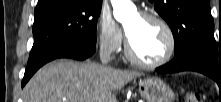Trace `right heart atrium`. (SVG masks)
I'll return each instance as SVG.
<instances>
[{
	"mask_svg": "<svg viewBox=\"0 0 221 102\" xmlns=\"http://www.w3.org/2000/svg\"><path fill=\"white\" fill-rule=\"evenodd\" d=\"M97 35L100 47L108 52H116L122 44V33L108 13H102L98 19Z\"/></svg>",
	"mask_w": 221,
	"mask_h": 102,
	"instance_id": "right-heart-atrium-1",
	"label": "right heart atrium"
}]
</instances>
